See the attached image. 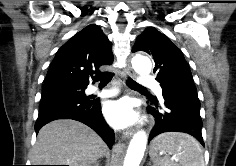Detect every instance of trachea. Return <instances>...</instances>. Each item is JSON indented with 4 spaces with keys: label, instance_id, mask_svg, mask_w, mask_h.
<instances>
[{
    "label": "trachea",
    "instance_id": "trachea-1",
    "mask_svg": "<svg viewBox=\"0 0 236 166\" xmlns=\"http://www.w3.org/2000/svg\"><path fill=\"white\" fill-rule=\"evenodd\" d=\"M111 79H112V74H110L109 72H105L96 77H93V80L100 81V85L102 86H106L111 81ZM127 85L131 89H146L145 87L141 86L140 84H138L137 82H135L130 78H128L127 80Z\"/></svg>",
    "mask_w": 236,
    "mask_h": 166
}]
</instances>
